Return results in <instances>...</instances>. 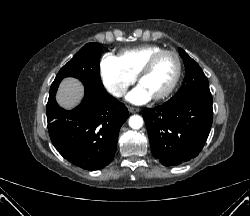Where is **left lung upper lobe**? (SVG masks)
<instances>
[{
	"label": "left lung upper lobe",
	"mask_w": 250,
	"mask_h": 216,
	"mask_svg": "<svg viewBox=\"0 0 250 216\" xmlns=\"http://www.w3.org/2000/svg\"><path fill=\"white\" fill-rule=\"evenodd\" d=\"M179 54L185 64V78L180 90L169 102H177L190 97H207L212 99L209 82L200 66L181 48Z\"/></svg>",
	"instance_id": "obj_1"
}]
</instances>
